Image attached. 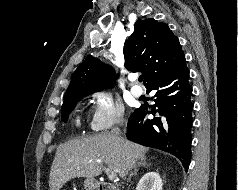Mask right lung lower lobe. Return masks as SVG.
<instances>
[{"mask_svg":"<svg viewBox=\"0 0 238 190\" xmlns=\"http://www.w3.org/2000/svg\"><path fill=\"white\" fill-rule=\"evenodd\" d=\"M146 89L156 91L155 104L149 112L142 106L134 110L128 120L126 136L135 143L175 155L187 171L191 161L193 103L185 59ZM148 113L156 117L148 119Z\"/></svg>","mask_w":238,"mask_h":190,"instance_id":"obj_1","label":"right lung lower lobe"}]
</instances>
